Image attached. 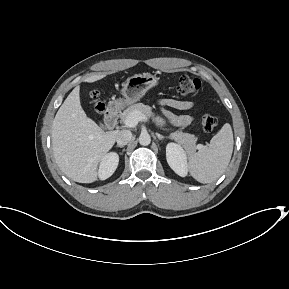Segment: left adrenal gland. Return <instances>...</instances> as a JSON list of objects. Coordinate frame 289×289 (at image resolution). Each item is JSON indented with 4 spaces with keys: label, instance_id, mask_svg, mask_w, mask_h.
Listing matches in <instances>:
<instances>
[{
    "label": "left adrenal gland",
    "instance_id": "obj_1",
    "mask_svg": "<svg viewBox=\"0 0 289 289\" xmlns=\"http://www.w3.org/2000/svg\"><path fill=\"white\" fill-rule=\"evenodd\" d=\"M156 136H157V138H158L159 140H163V139H165V138H170V137L162 136V135H160V134H156Z\"/></svg>",
    "mask_w": 289,
    "mask_h": 289
}]
</instances>
